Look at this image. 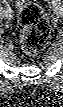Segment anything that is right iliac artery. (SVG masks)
Instances as JSON below:
<instances>
[{"label":"right iliac artery","mask_w":63,"mask_h":107,"mask_svg":"<svg viewBox=\"0 0 63 107\" xmlns=\"http://www.w3.org/2000/svg\"><path fill=\"white\" fill-rule=\"evenodd\" d=\"M5 3H7V2H5ZM6 11L11 12V9H10L9 5H7V4H6Z\"/></svg>","instance_id":"1"}]
</instances>
